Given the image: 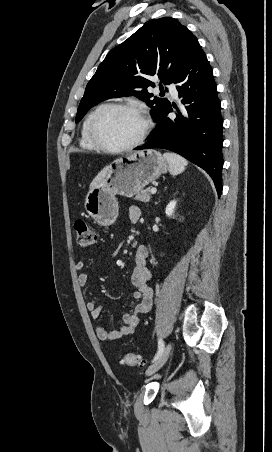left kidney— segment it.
Returning <instances> with one entry per match:
<instances>
[{"mask_svg": "<svg viewBox=\"0 0 272 452\" xmlns=\"http://www.w3.org/2000/svg\"><path fill=\"white\" fill-rule=\"evenodd\" d=\"M176 204H177V201L176 200H172L166 206L165 213H166V215L168 217L174 216V211H175V208H176Z\"/></svg>", "mask_w": 272, "mask_h": 452, "instance_id": "obj_1", "label": "left kidney"}]
</instances>
